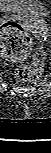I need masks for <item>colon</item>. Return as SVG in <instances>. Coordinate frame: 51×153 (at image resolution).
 I'll return each instance as SVG.
<instances>
[{
    "mask_svg": "<svg viewBox=\"0 0 51 153\" xmlns=\"http://www.w3.org/2000/svg\"><path fill=\"white\" fill-rule=\"evenodd\" d=\"M32 39L16 22L8 21L1 26V54L9 61L22 62L32 50ZM45 64V53L37 48L32 53L31 66H19L15 76L19 81L30 82L40 77Z\"/></svg>",
    "mask_w": 51,
    "mask_h": 153,
    "instance_id": "colon-1",
    "label": "colon"
}]
</instances>
